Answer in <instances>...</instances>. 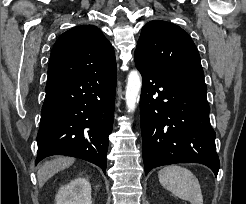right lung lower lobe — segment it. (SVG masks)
Wrapping results in <instances>:
<instances>
[{"label":"right lung lower lobe","instance_id":"98d812e1","mask_svg":"<svg viewBox=\"0 0 246 204\" xmlns=\"http://www.w3.org/2000/svg\"><path fill=\"white\" fill-rule=\"evenodd\" d=\"M117 69L49 80L35 164L52 155L84 159L106 172Z\"/></svg>","mask_w":246,"mask_h":204}]
</instances>
